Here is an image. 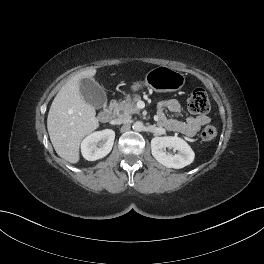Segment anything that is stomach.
Segmentation results:
<instances>
[{
    "label": "stomach",
    "mask_w": 264,
    "mask_h": 264,
    "mask_svg": "<svg viewBox=\"0 0 264 264\" xmlns=\"http://www.w3.org/2000/svg\"><path fill=\"white\" fill-rule=\"evenodd\" d=\"M184 84V74L167 66H158L146 74L143 83H133L131 90L136 92L146 86L156 92H173L181 89Z\"/></svg>",
    "instance_id": "obj_1"
}]
</instances>
